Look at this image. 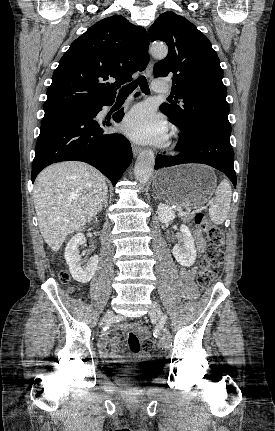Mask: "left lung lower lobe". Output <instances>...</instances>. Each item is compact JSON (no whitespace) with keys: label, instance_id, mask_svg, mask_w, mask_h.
<instances>
[{"label":"left lung lower lobe","instance_id":"0a47b994","mask_svg":"<svg viewBox=\"0 0 275 431\" xmlns=\"http://www.w3.org/2000/svg\"><path fill=\"white\" fill-rule=\"evenodd\" d=\"M176 148L181 150L177 156L157 155L155 169L184 163L207 164L222 171L236 187L230 134L207 131L183 132Z\"/></svg>","mask_w":275,"mask_h":431}]
</instances>
